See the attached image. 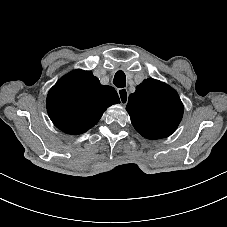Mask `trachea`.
<instances>
[{"label":"trachea","mask_w":227,"mask_h":227,"mask_svg":"<svg viewBox=\"0 0 227 227\" xmlns=\"http://www.w3.org/2000/svg\"><path fill=\"white\" fill-rule=\"evenodd\" d=\"M113 84L118 88H123L126 86V76L123 71L116 72Z\"/></svg>","instance_id":"1"}]
</instances>
